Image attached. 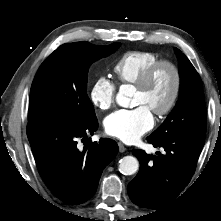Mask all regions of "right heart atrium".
<instances>
[{"instance_id": "1", "label": "right heart atrium", "mask_w": 221, "mask_h": 221, "mask_svg": "<svg viewBox=\"0 0 221 221\" xmlns=\"http://www.w3.org/2000/svg\"><path fill=\"white\" fill-rule=\"evenodd\" d=\"M115 95L114 83L106 76H99L90 88L89 99L96 109L106 111L114 104Z\"/></svg>"}]
</instances>
